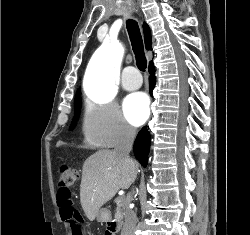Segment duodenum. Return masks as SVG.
I'll return each instance as SVG.
<instances>
[{
  "label": "duodenum",
  "mask_w": 250,
  "mask_h": 235,
  "mask_svg": "<svg viewBox=\"0 0 250 235\" xmlns=\"http://www.w3.org/2000/svg\"><path fill=\"white\" fill-rule=\"evenodd\" d=\"M109 228V235H117V229H116V223L115 222H109L108 223Z\"/></svg>",
  "instance_id": "1"
}]
</instances>
